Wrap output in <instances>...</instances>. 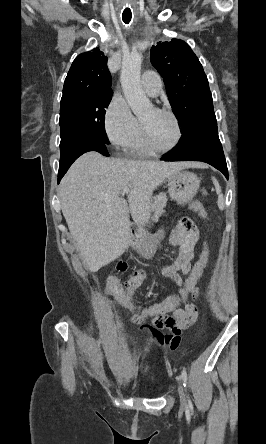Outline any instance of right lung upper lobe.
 Returning a JSON list of instances; mask_svg holds the SVG:
<instances>
[{"mask_svg": "<svg viewBox=\"0 0 266 444\" xmlns=\"http://www.w3.org/2000/svg\"><path fill=\"white\" fill-rule=\"evenodd\" d=\"M111 75L107 68V57L99 48L78 55L73 61L63 86L62 101L111 89Z\"/></svg>", "mask_w": 266, "mask_h": 444, "instance_id": "cb5924a9", "label": "right lung upper lobe"}]
</instances>
